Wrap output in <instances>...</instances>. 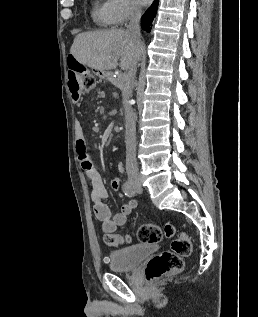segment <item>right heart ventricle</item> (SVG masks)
<instances>
[{"label": "right heart ventricle", "instance_id": "e07e8e85", "mask_svg": "<svg viewBox=\"0 0 258 317\" xmlns=\"http://www.w3.org/2000/svg\"><path fill=\"white\" fill-rule=\"evenodd\" d=\"M109 1L110 0H101L94 4L92 19L99 26L105 27L110 25Z\"/></svg>", "mask_w": 258, "mask_h": 317}]
</instances>
